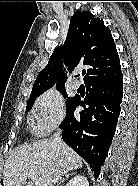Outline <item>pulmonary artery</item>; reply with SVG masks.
Listing matches in <instances>:
<instances>
[{
  "label": "pulmonary artery",
  "instance_id": "pulmonary-artery-1",
  "mask_svg": "<svg viewBox=\"0 0 138 186\" xmlns=\"http://www.w3.org/2000/svg\"><path fill=\"white\" fill-rule=\"evenodd\" d=\"M72 87H73L74 89H78V88L80 87V82H79L78 79H74V80L72 81Z\"/></svg>",
  "mask_w": 138,
  "mask_h": 186
}]
</instances>
